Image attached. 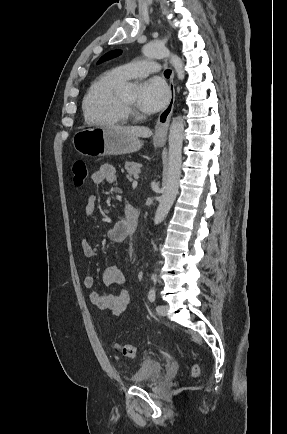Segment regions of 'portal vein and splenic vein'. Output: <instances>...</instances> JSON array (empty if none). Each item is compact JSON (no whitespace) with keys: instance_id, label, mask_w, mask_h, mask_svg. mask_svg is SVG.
Segmentation results:
<instances>
[{"instance_id":"18ae733b","label":"portal vein and splenic vein","mask_w":287,"mask_h":434,"mask_svg":"<svg viewBox=\"0 0 287 434\" xmlns=\"http://www.w3.org/2000/svg\"><path fill=\"white\" fill-rule=\"evenodd\" d=\"M137 184H138V182L135 180V181H133L132 186H133V187H136Z\"/></svg>"}]
</instances>
